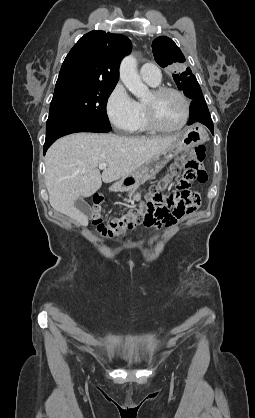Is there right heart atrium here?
I'll return each mask as SVG.
<instances>
[{
  "instance_id": "right-heart-atrium-1",
  "label": "right heart atrium",
  "mask_w": 255,
  "mask_h": 418,
  "mask_svg": "<svg viewBox=\"0 0 255 418\" xmlns=\"http://www.w3.org/2000/svg\"><path fill=\"white\" fill-rule=\"evenodd\" d=\"M106 115L118 131L130 132L139 117V106L126 88L118 83L109 94L105 104Z\"/></svg>"
}]
</instances>
